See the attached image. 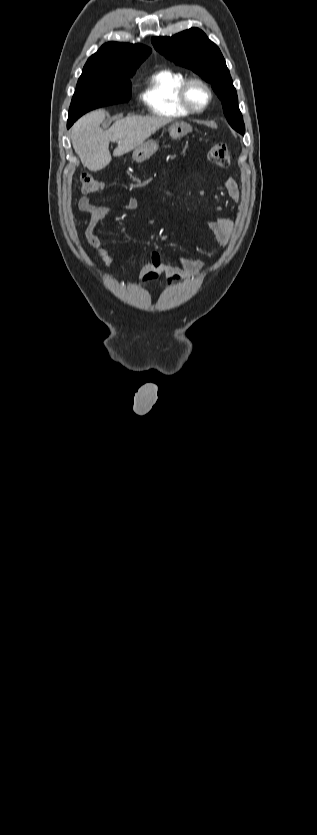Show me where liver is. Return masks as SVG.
<instances>
[{
  "label": "liver",
  "mask_w": 317,
  "mask_h": 835,
  "mask_svg": "<svg viewBox=\"0 0 317 835\" xmlns=\"http://www.w3.org/2000/svg\"><path fill=\"white\" fill-rule=\"evenodd\" d=\"M104 110L92 111L81 117L71 129V141L81 162L91 171L105 168L111 162L109 143L117 142L114 156L137 149L146 139L169 121L159 117L127 116L117 119L106 131L100 128Z\"/></svg>",
  "instance_id": "6515ba94"
}]
</instances>
